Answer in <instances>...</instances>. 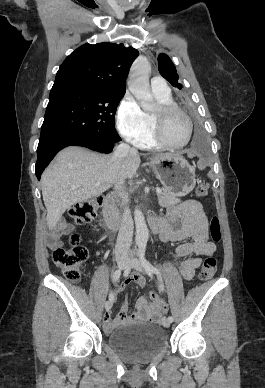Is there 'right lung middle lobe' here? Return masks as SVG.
I'll return each instance as SVG.
<instances>
[{"mask_svg": "<svg viewBox=\"0 0 265 388\" xmlns=\"http://www.w3.org/2000/svg\"><path fill=\"white\" fill-rule=\"evenodd\" d=\"M124 94L122 90H74L50 94L40 138L73 131L99 141H121L114 127V115Z\"/></svg>", "mask_w": 265, "mask_h": 388, "instance_id": "right-lung-middle-lobe-1", "label": "right lung middle lobe"}]
</instances>
